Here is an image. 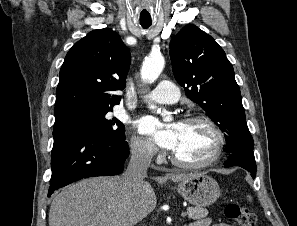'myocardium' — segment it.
<instances>
[{
  "label": "myocardium",
  "instance_id": "myocardium-1",
  "mask_svg": "<svg viewBox=\"0 0 297 226\" xmlns=\"http://www.w3.org/2000/svg\"><path fill=\"white\" fill-rule=\"evenodd\" d=\"M191 122H202L206 124L214 133L216 137L215 146L205 160L200 162H185L180 160L173 152L170 155L172 163L180 168L184 169H203L213 165L221 156L224 149L226 139L223 131L218 126V124L209 116L204 114H193L186 116L182 119V123H191Z\"/></svg>",
  "mask_w": 297,
  "mask_h": 226
}]
</instances>
